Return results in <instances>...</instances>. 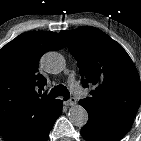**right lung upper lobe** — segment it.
Listing matches in <instances>:
<instances>
[{"mask_svg":"<svg viewBox=\"0 0 141 141\" xmlns=\"http://www.w3.org/2000/svg\"><path fill=\"white\" fill-rule=\"evenodd\" d=\"M64 46L57 33L38 31L23 33L0 50V134L56 101L37 94L47 83L37 65L45 52Z\"/></svg>","mask_w":141,"mask_h":141,"instance_id":"cb5924a9","label":"right lung upper lobe"}]
</instances>
